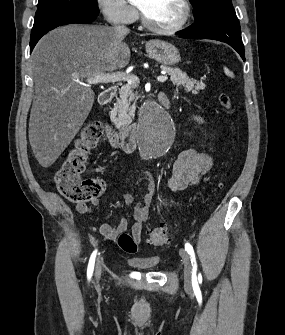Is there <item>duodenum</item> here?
I'll return each instance as SVG.
<instances>
[{
	"label": "duodenum",
	"mask_w": 285,
	"mask_h": 335,
	"mask_svg": "<svg viewBox=\"0 0 285 335\" xmlns=\"http://www.w3.org/2000/svg\"><path fill=\"white\" fill-rule=\"evenodd\" d=\"M117 91L116 86H111L104 90L100 97L99 102L101 105H107L115 96ZM164 105H168L166 99L162 100ZM136 130L135 124L129 125L123 129H116L111 125H105V134L108 141L115 148L122 150L125 153H131L136 147Z\"/></svg>",
	"instance_id": "410a0bca"
}]
</instances>
